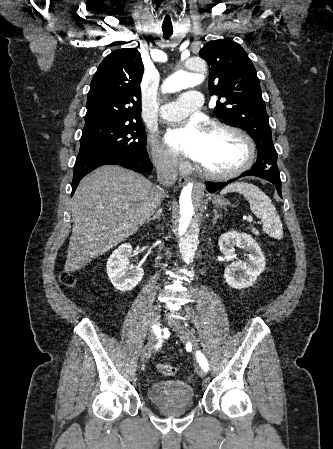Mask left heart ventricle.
Returning a JSON list of instances; mask_svg holds the SVG:
<instances>
[{"label": "left heart ventricle", "instance_id": "obj_1", "mask_svg": "<svg viewBox=\"0 0 333 449\" xmlns=\"http://www.w3.org/2000/svg\"><path fill=\"white\" fill-rule=\"evenodd\" d=\"M243 142L226 133L205 132L197 162L214 172H225L238 167L245 159Z\"/></svg>", "mask_w": 333, "mask_h": 449}]
</instances>
